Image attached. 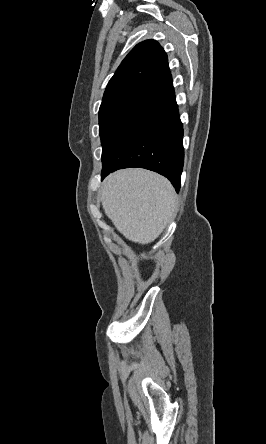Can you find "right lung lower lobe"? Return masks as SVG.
I'll return each mask as SVG.
<instances>
[{
	"mask_svg": "<svg viewBox=\"0 0 266 444\" xmlns=\"http://www.w3.org/2000/svg\"><path fill=\"white\" fill-rule=\"evenodd\" d=\"M182 139L183 125L174 100L103 162L102 179L118 169L140 167L167 177L178 192L184 163Z\"/></svg>",
	"mask_w": 266,
	"mask_h": 444,
	"instance_id": "right-lung-lower-lobe-1",
	"label": "right lung lower lobe"
}]
</instances>
